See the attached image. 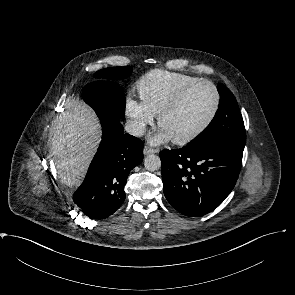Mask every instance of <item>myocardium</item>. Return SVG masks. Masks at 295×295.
<instances>
[{
  "label": "myocardium",
  "mask_w": 295,
  "mask_h": 295,
  "mask_svg": "<svg viewBox=\"0 0 295 295\" xmlns=\"http://www.w3.org/2000/svg\"><path fill=\"white\" fill-rule=\"evenodd\" d=\"M199 84H207L214 91V93H215V106H214L213 112L210 115V117L208 118V120L198 130H196L194 133H192L191 135H189V136H187L185 138L174 139L173 142L175 144H177V145H187V144H190V143L196 141L197 139H199L212 126V124L215 122V120H216V118L218 116V113L220 111V107H221V94H220V91H219L217 85L213 81H211L209 79L199 78V79H197V80L189 83L185 87H183L166 104V106L160 111V113L158 114V124H159V126H161L162 121L164 120V118L167 115H169L170 113H172L173 111H175L180 106V104L182 103V101L184 100V98L188 95V93L194 87H196Z\"/></svg>",
  "instance_id": "f54148a6"
}]
</instances>
